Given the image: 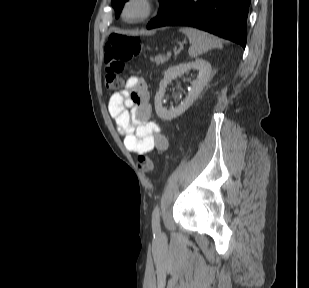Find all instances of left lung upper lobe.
I'll return each mask as SVG.
<instances>
[{"label": "left lung upper lobe", "mask_w": 309, "mask_h": 288, "mask_svg": "<svg viewBox=\"0 0 309 288\" xmlns=\"http://www.w3.org/2000/svg\"><path fill=\"white\" fill-rule=\"evenodd\" d=\"M126 1L127 0H111L112 7L115 9V12H116V17L119 16V14L122 10V7H123V5ZM172 2H173V0H160L159 13H161L163 10H165Z\"/></svg>", "instance_id": "obj_1"}]
</instances>
